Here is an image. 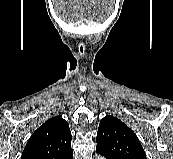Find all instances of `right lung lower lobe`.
Instances as JSON below:
<instances>
[{"mask_svg": "<svg viewBox=\"0 0 173 159\" xmlns=\"http://www.w3.org/2000/svg\"><path fill=\"white\" fill-rule=\"evenodd\" d=\"M66 159H73V153L70 156L66 157Z\"/></svg>", "mask_w": 173, "mask_h": 159, "instance_id": "obj_1", "label": "right lung lower lobe"}]
</instances>
